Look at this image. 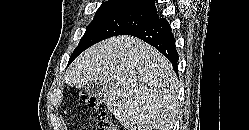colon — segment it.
I'll list each match as a JSON object with an SVG mask.
<instances>
[{
    "label": "colon",
    "instance_id": "obj_1",
    "mask_svg": "<svg viewBox=\"0 0 249 130\" xmlns=\"http://www.w3.org/2000/svg\"><path fill=\"white\" fill-rule=\"evenodd\" d=\"M82 99L91 108H94L98 114L99 130H119L113 122L104 105L97 98L83 95Z\"/></svg>",
    "mask_w": 249,
    "mask_h": 130
}]
</instances>
